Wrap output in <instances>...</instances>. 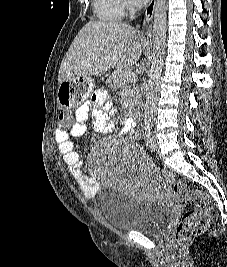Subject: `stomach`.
Instances as JSON below:
<instances>
[{"label": "stomach", "instance_id": "0dacf381", "mask_svg": "<svg viewBox=\"0 0 227 267\" xmlns=\"http://www.w3.org/2000/svg\"><path fill=\"white\" fill-rule=\"evenodd\" d=\"M57 92L56 101H59L61 107H78L86 96H90L93 90V79L84 77H64Z\"/></svg>", "mask_w": 227, "mask_h": 267}]
</instances>
